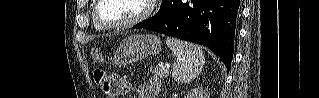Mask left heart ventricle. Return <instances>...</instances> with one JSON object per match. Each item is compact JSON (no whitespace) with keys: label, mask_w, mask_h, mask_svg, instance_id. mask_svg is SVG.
Instances as JSON below:
<instances>
[{"label":"left heart ventricle","mask_w":319,"mask_h":98,"mask_svg":"<svg viewBox=\"0 0 319 98\" xmlns=\"http://www.w3.org/2000/svg\"><path fill=\"white\" fill-rule=\"evenodd\" d=\"M142 10V0H103L99 14L105 22L116 23L131 19Z\"/></svg>","instance_id":"b2bd125f"}]
</instances>
